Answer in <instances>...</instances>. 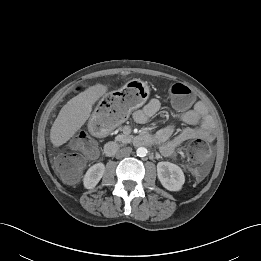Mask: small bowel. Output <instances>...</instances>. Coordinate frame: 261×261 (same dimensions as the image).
<instances>
[{
    "mask_svg": "<svg viewBox=\"0 0 261 261\" xmlns=\"http://www.w3.org/2000/svg\"><path fill=\"white\" fill-rule=\"evenodd\" d=\"M160 108L161 102L158 99H152L134 113L133 119L139 124H145L159 112ZM203 111L204 106L199 102L194 108L181 113L180 118L190 126L174 137L173 126H166L155 134V142L159 145L160 153L163 156L176 155L180 146L188 140L200 138L212 141L214 139L213 120L209 116H205Z\"/></svg>",
    "mask_w": 261,
    "mask_h": 261,
    "instance_id": "obj_1",
    "label": "small bowel"
}]
</instances>
